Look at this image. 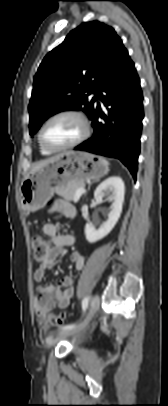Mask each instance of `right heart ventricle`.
I'll return each mask as SVG.
<instances>
[{
  "mask_svg": "<svg viewBox=\"0 0 168 406\" xmlns=\"http://www.w3.org/2000/svg\"><path fill=\"white\" fill-rule=\"evenodd\" d=\"M39 146H40V152H41L42 155H50V154L53 153L52 151H49V150H46L45 148H43V147L40 145V143H39Z\"/></svg>",
  "mask_w": 168,
  "mask_h": 406,
  "instance_id": "1",
  "label": "right heart ventricle"
}]
</instances>
